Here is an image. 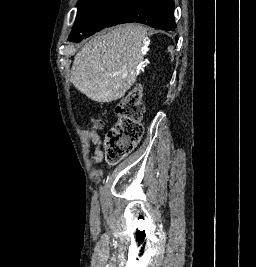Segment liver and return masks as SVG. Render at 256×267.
Wrapping results in <instances>:
<instances>
[{
	"label": "liver",
	"mask_w": 256,
	"mask_h": 267,
	"mask_svg": "<svg viewBox=\"0 0 256 267\" xmlns=\"http://www.w3.org/2000/svg\"><path fill=\"white\" fill-rule=\"evenodd\" d=\"M146 32L141 24H121L97 34L74 58L73 86L94 102L122 98L136 82Z\"/></svg>",
	"instance_id": "liver-1"
}]
</instances>
